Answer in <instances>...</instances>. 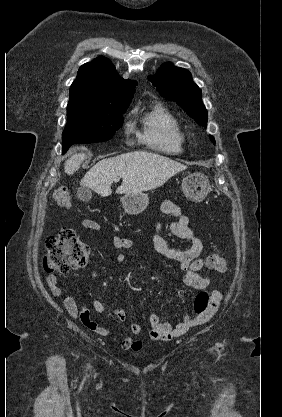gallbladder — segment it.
<instances>
[{
	"label": "gallbladder",
	"mask_w": 282,
	"mask_h": 417,
	"mask_svg": "<svg viewBox=\"0 0 282 417\" xmlns=\"http://www.w3.org/2000/svg\"><path fill=\"white\" fill-rule=\"evenodd\" d=\"M77 196L80 200H90L92 192L90 188H87V186H80L77 190Z\"/></svg>",
	"instance_id": "bac80fb5"
}]
</instances>
